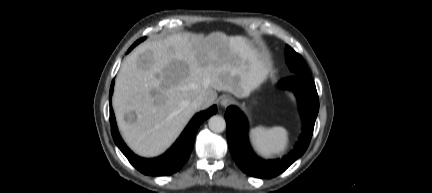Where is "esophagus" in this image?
<instances>
[{
	"label": "esophagus",
	"mask_w": 432,
	"mask_h": 193,
	"mask_svg": "<svg viewBox=\"0 0 432 193\" xmlns=\"http://www.w3.org/2000/svg\"><path fill=\"white\" fill-rule=\"evenodd\" d=\"M232 102H233V99L231 97H229V96H224L220 100V104H221L222 107H227L230 104H232Z\"/></svg>",
	"instance_id": "1"
}]
</instances>
